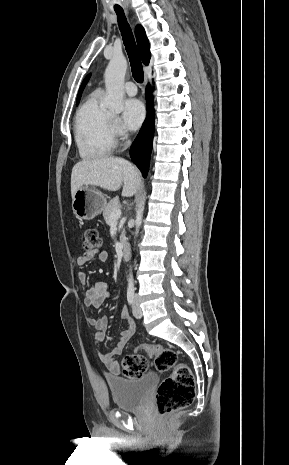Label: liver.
<instances>
[{
	"mask_svg": "<svg viewBox=\"0 0 289 465\" xmlns=\"http://www.w3.org/2000/svg\"><path fill=\"white\" fill-rule=\"evenodd\" d=\"M141 182L139 170L129 161L119 157H101L76 163L71 174V195L81 187L94 185L108 191L123 186L122 196H133Z\"/></svg>",
	"mask_w": 289,
	"mask_h": 465,
	"instance_id": "obj_1",
	"label": "liver"
}]
</instances>
